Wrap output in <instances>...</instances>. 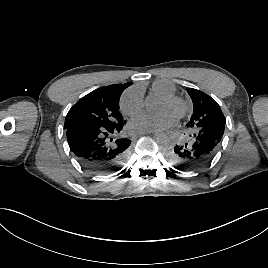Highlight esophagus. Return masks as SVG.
Here are the masks:
<instances>
[{
    "mask_svg": "<svg viewBox=\"0 0 268 268\" xmlns=\"http://www.w3.org/2000/svg\"><path fill=\"white\" fill-rule=\"evenodd\" d=\"M140 135H144V133H140Z\"/></svg>",
    "mask_w": 268,
    "mask_h": 268,
    "instance_id": "esophagus-1",
    "label": "esophagus"
}]
</instances>
